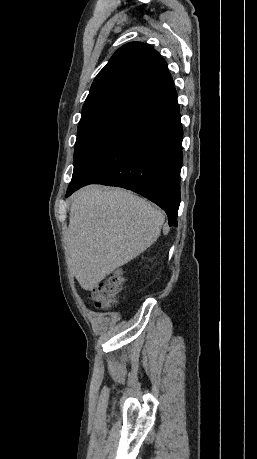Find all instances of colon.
<instances>
[{"instance_id": "obj_1", "label": "colon", "mask_w": 257, "mask_h": 459, "mask_svg": "<svg viewBox=\"0 0 257 459\" xmlns=\"http://www.w3.org/2000/svg\"><path fill=\"white\" fill-rule=\"evenodd\" d=\"M123 276L117 271L90 291V300L98 308L115 305L122 291Z\"/></svg>"}]
</instances>
